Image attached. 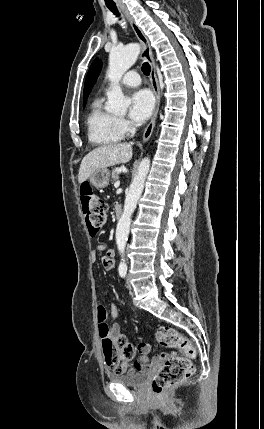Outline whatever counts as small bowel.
<instances>
[{
  "label": "small bowel",
  "mask_w": 264,
  "mask_h": 429,
  "mask_svg": "<svg viewBox=\"0 0 264 429\" xmlns=\"http://www.w3.org/2000/svg\"><path fill=\"white\" fill-rule=\"evenodd\" d=\"M105 249L106 247L104 245L102 244L98 245L95 248V250H93L92 252L93 258H96L97 252L104 251ZM101 262L105 270H108V271L112 270L115 265L113 251L107 250L105 255L102 257ZM100 308H103L105 310V308L102 305L98 306V309H97L98 314H99ZM110 315L113 320L111 325H108L106 320L103 323L98 321L99 322L98 330H99V336L102 340V346L106 339L108 338L115 339L122 336L119 325L116 323V320L119 319L121 316L120 309L117 305L113 304L111 306ZM106 316H107V313H106ZM137 350L140 353V356L135 358L132 362H129V361L125 362L123 364V372H127L131 369L144 371L149 368L150 363L148 361L147 354L151 351V346L147 343H140L137 345ZM167 357H168V354H161L160 356L154 357L151 364H157L162 360L166 359Z\"/></svg>",
  "instance_id": "c3829d8e"
}]
</instances>
